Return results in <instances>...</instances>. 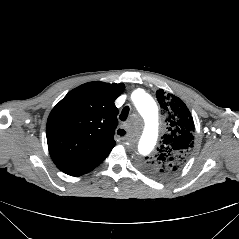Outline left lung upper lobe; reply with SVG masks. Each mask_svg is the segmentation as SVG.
<instances>
[{"instance_id":"5c2ea615","label":"left lung upper lobe","mask_w":239,"mask_h":239,"mask_svg":"<svg viewBox=\"0 0 239 239\" xmlns=\"http://www.w3.org/2000/svg\"><path fill=\"white\" fill-rule=\"evenodd\" d=\"M156 97L166 118L167 133L162 137L153 157H146L142 170L157 179H167L187 163L194 144L195 125L184 102L175 95L159 89Z\"/></svg>"}]
</instances>
